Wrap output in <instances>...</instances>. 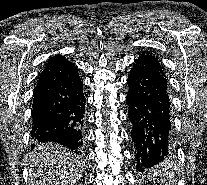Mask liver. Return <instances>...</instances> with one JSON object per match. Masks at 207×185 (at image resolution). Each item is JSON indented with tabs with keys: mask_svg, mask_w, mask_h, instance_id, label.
<instances>
[{
	"mask_svg": "<svg viewBox=\"0 0 207 185\" xmlns=\"http://www.w3.org/2000/svg\"><path fill=\"white\" fill-rule=\"evenodd\" d=\"M29 161L30 183L36 175H45L48 185H74L76 179L81 177L82 167L74 159L73 153L57 143H41ZM56 165V167H55ZM35 167V169H32Z\"/></svg>",
	"mask_w": 207,
	"mask_h": 185,
	"instance_id": "obj_1",
	"label": "liver"
}]
</instances>
